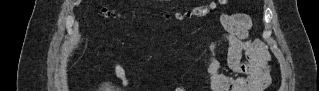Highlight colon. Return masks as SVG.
I'll use <instances>...</instances> for the list:
<instances>
[{"label": "colon", "mask_w": 319, "mask_h": 91, "mask_svg": "<svg viewBox=\"0 0 319 91\" xmlns=\"http://www.w3.org/2000/svg\"><path fill=\"white\" fill-rule=\"evenodd\" d=\"M208 11H209V7L197 6V7L192 8L191 10H189L187 15L200 17V16L206 15L208 13ZM102 13H103V16H105V17H113V16H115V14L112 11L108 10V9H104Z\"/></svg>", "instance_id": "obj_1"}]
</instances>
